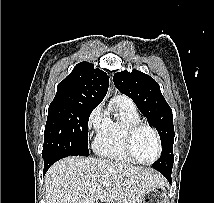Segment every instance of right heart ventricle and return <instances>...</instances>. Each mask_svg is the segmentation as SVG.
Returning <instances> with one entry per match:
<instances>
[{
    "instance_id": "e07e8e85",
    "label": "right heart ventricle",
    "mask_w": 214,
    "mask_h": 203,
    "mask_svg": "<svg viewBox=\"0 0 214 203\" xmlns=\"http://www.w3.org/2000/svg\"><path fill=\"white\" fill-rule=\"evenodd\" d=\"M112 106L115 117H108L105 128L94 141V150L109 160L133 164L135 161L125 149V133L130 125L141 122L140 115L134 103L125 96H116Z\"/></svg>"
}]
</instances>
